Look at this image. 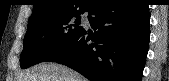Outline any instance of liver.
Segmentation results:
<instances>
[{"label": "liver", "mask_w": 169, "mask_h": 81, "mask_svg": "<svg viewBox=\"0 0 169 81\" xmlns=\"http://www.w3.org/2000/svg\"><path fill=\"white\" fill-rule=\"evenodd\" d=\"M19 81H86V78L64 65L43 62L23 72Z\"/></svg>", "instance_id": "6515ba94"}]
</instances>
